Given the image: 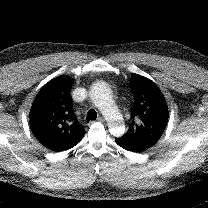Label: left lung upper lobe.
Masks as SVG:
<instances>
[{"label": "left lung upper lobe", "instance_id": "1", "mask_svg": "<svg viewBox=\"0 0 208 208\" xmlns=\"http://www.w3.org/2000/svg\"><path fill=\"white\" fill-rule=\"evenodd\" d=\"M130 84L135 102L131 124L121 138L148 149L157 143L167 126L168 106L160 89L150 79L133 74Z\"/></svg>", "mask_w": 208, "mask_h": 208}]
</instances>
